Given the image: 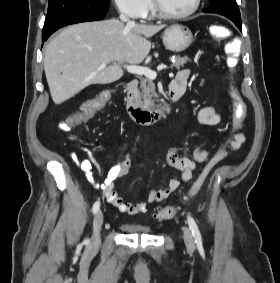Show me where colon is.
Masks as SVG:
<instances>
[{"mask_svg": "<svg viewBox=\"0 0 280 283\" xmlns=\"http://www.w3.org/2000/svg\"><path fill=\"white\" fill-rule=\"evenodd\" d=\"M209 32L215 40H224L228 38L226 62L229 69H234L237 65L236 55L241 54V47L243 46V43L241 42V37H230L231 30L223 25H211L209 27ZM108 97L109 94L106 92L94 101H92L88 106L84 108V110H74L73 114H68V119L74 120L73 122H62V132H73V127H78L79 124H83L84 120H92L93 115H95V112L102 111L101 107L95 106L105 102ZM232 97L234 101L233 121L236 123L243 124V121L246 116V105L234 90H232ZM222 157V154H216L209 160L203 171L200 173V175L190 187L186 200L191 199L198 193L211 170L217 165V163L222 159ZM177 211L178 208L176 206H167L165 208L160 209L155 214V217L160 221H166L174 217Z\"/></svg>", "mask_w": 280, "mask_h": 283, "instance_id": "obj_1", "label": "colon"}]
</instances>
